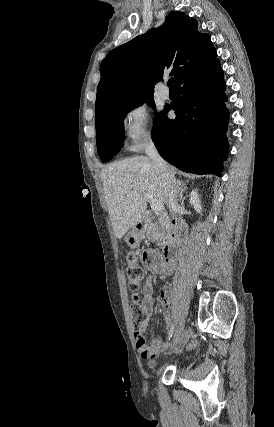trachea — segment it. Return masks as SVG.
<instances>
[{
  "mask_svg": "<svg viewBox=\"0 0 274 427\" xmlns=\"http://www.w3.org/2000/svg\"><path fill=\"white\" fill-rule=\"evenodd\" d=\"M167 85L169 88H174V84H173V78H169Z\"/></svg>",
  "mask_w": 274,
  "mask_h": 427,
  "instance_id": "trachea-1",
  "label": "trachea"
}]
</instances>
